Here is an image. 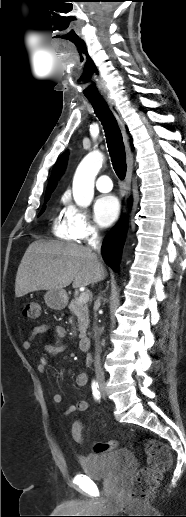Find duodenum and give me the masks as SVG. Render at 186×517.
<instances>
[{"label":"duodenum","instance_id":"duodenum-1","mask_svg":"<svg viewBox=\"0 0 186 517\" xmlns=\"http://www.w3.org/2000/svg\"><path fill=\"white\" fill-rule=\"evenodd\" d=\"M91 346V339L88 336H83L79 338V348L82 351H88Z\"/></svg>","mask_w":186,"mask_h":517}]
</instances>
